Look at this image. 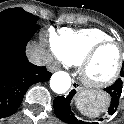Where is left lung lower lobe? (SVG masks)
<instances>
[{"label": "left lung lower lobe", "mask_w": 124, "mask_h": 124, "mask_svg": "<svg viewBox=\"0 0 124 124\" xmlns=\"http://www.w3.org/2000/svg\"><path fill=\"white\" fill-rule=\"evenodd\" d=\"M122 84H123L122 79L119 78L113 85L104 89L111 99L110 105L108 107L109 115H113L118 108L119 100L122 93L123 87ZM75 93L76 90H72L67 97L58 96L55 98V100L53 101V107L57 117L68 124H99L95 122L93 123L84 122L82 120H78L74 116L73 112L71 111L70 104Z\"/></svg>", "instance_id": "1"}]
</instances>
